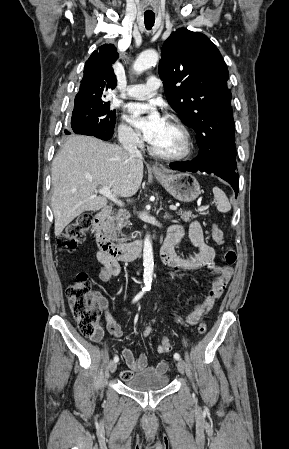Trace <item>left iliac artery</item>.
Returning a JSON list of instances; mask_svg holds the SVG:
<instances>
[{"label": "left iliac artery", "mask_w": 289, "mask_h": 449, "mask_svg": "<svg viewBox=\"0 0 289 449\" xmlns=\"http://www.w3.org/2000/svg\"><path fill=\"white\" fill-rule=\"evenodd\" d=\"M174 358H175L176 360H180L181 356H180V354L175 353V354H174Z\"/></svg>", "instance_id": "1"}]
</instances>
